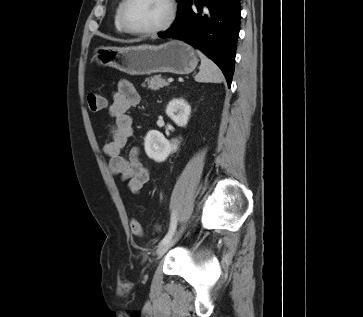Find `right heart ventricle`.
<instances>
[{
    "instance_id": "right-heart-ventricle-1",
    "label": "right heart ventricle",
    "mask_w": 363,
    "mask_h": 317,
    "mask_svg": "<svg viewBox=\"0 0 363 317\" xmlns=\"http://www.w3.org/2000/svg\"><path fill=\"white\" fill-rule=\"evenodd\" d=\"M123 0H120L115 8V12H114V26L117 32L119 33H124V29L121 26L120 23V18H119V12H120V7L122 5Z\"/></svg>"
}]
</instances>
